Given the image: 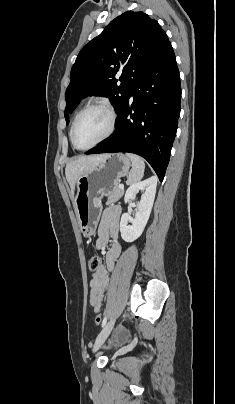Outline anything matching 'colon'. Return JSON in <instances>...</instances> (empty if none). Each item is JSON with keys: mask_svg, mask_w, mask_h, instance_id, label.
Instances as JSON below:
<instances>
[{"mask_svg": "<svg viewBox=\"0 0 235 404\" xmlns=\"http://www.w3.org/2000/svg\"><path fill=\"white\" fill-rule=\"evenodd\" d=\"M101 266V258L99 256H92L88 261V267L91 271H96ZM94 322L96 325H99L102 322V317L100 314H97L94 318Z\"/></svg>", "mask_w": 235, "mask_h": 404, "instance_id": "5ec220e1", "label": "colon"}]
</instances>
